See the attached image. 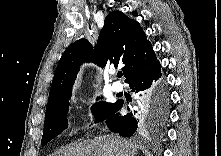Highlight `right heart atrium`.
I'll list each match as a JSON object with an SVG mask.
<instances>
[{
    "label": "right heart atrium",
    "instance_id": "1",
    "mask_svg": "<svg viewBox=\"0 0 221 156\" xmlns=\"http://www.w3.org/2000/svg\"><path fill=\"white\" fill-rule=\"evenodd\" d=\"M85 118L92 125L97 123V117L91 110L87 111Z\"/></svg>",
    "mask_w": 221,
    "mask_h": 156
}]
</instances>
